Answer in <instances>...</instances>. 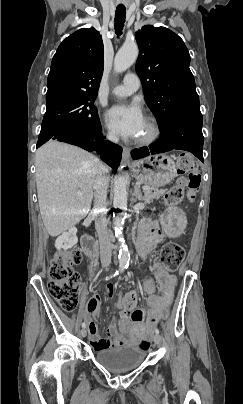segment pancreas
<instances>
[{"label": "pancreas", "instance_id": "1", "mask_svg": "<svg viewBox=\"0 0 243 404\" xmlns=\"http://www.w3.org/2000/svg\"><path fill=\"white\" fill-rule=\"evenodd\" d=\"M164 192L166 190H159V188H150V190H145L144 192V202L145 204H150L154 198H160V196H164Z\"/></svg>", "mask_w": 243, "mask_h": 404}]
</instances>
